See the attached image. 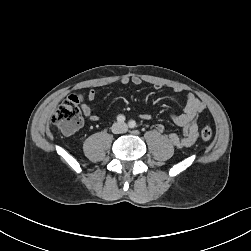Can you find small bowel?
<instances>
[{
  "label": "small bowel",
  "mask_w": 251,
  "mask_h": 251,
  "mask_svg": "<svg viewBox=\"0 0 251 251\" xmlns=\"http://www.w3.org/2000/svg\"><path fill=\"white\" fill-rule=\"evenodd\" d=\"M122 85L133 84L140 85L142 80L138 76L128 77L124 76L120 79ZM154 89L159 90L162 88L161 84H154ZM176 93L182 92L181 88L176 87L174 89ZM96 98V91L91 89L87 93V99L93 101ZM205 104L193 93H188L186 95L185 103L183 106V113L176 114L171 113V120L179 127L183 129L182 136L176 133H170L168 139L170 143L177 149H186L193 146L198 138L199 123L198 119L200 114L204 111ZM81 110L83 114L91 121L96 122L100 119L97 113H94L92 109L85 103L81 105ZM140 119L149 120L151 118L150 114L141 113L138 115ZM156 129L159 132L165 131V127L162 124H157Z\"/></svg>",
  "instance_id": "1"
}]
</instances>
